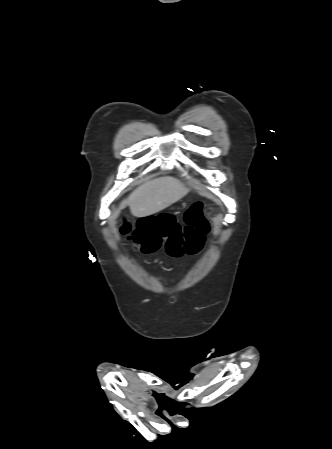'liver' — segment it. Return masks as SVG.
Listing matches in <instances>:
<instances>
[{
	"label": "liver",
	"mask_w": 332,
	"mask_h": 449,
	"mask_svg": "<svg viewBox=\"0 0 332 449\" xmlns=\"http://www.w3.org/2000/svg\"><path fill=\"white\" fill-rule=\"evenodd\" d=\"M189 189L178 179L163 177L149 181L134 190L119 208L114 211L116 218L127 205L135 217H145L155 214L182 199Z\"/></svg>",
	"instance_id": "liver-1"
}]
</instances>
